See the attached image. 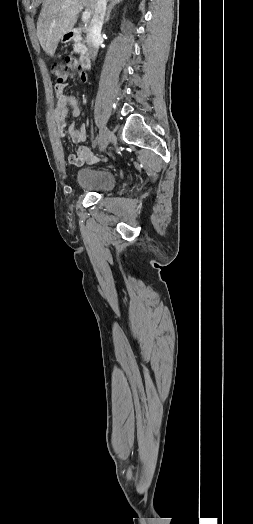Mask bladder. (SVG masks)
Masks as SVG:
<instances>
[{"mask_svg":"<svg viewBox=\"0 0 253 524\" xmlns=\"http://www.w3.org/2000/svg\"><path fill=\"white\" fill-rule=\"evenodd\" d=\"M116 184V175L109 170L84 169L78 174L79 187L88 192L108 193Z\"/></svg>","mask_w":253,"mask_h":524,"instance_id":"1","label":"bladder"}]
</instances>
